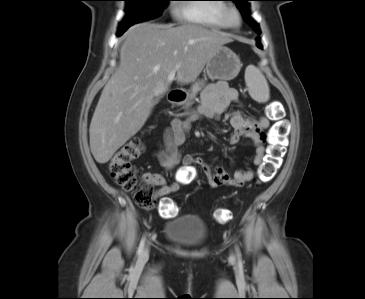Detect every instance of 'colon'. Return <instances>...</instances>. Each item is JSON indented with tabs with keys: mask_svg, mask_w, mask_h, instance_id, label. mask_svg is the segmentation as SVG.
I'll use <instances>...</instances> for the list:
<instances>
[{
	"mask_svg": "<svg viewBox=\"0 0 365 299\" xmlns=\"http://www.w3.org/2000/svg\"><path fill=\"white\" fill-rule=\"evenodd\" d=\"M269 117L275 120L269 135L268 154L258 171V180L262 183L269 182L275 176L281 165L285 153L288 125L281 118V104L275 102L268 110ZM141 137L135 136L128 140L111 158L108 170L110 176L126 192L134 196L135 202L144 209L153 208L156 202L153 186L149 183L140 184L136 169L132 161L143 151ZM189 182V181H188ZM177 211V205L169 199L163 200L160 213L163 217H171ZM213 216L220 223H226L231 219V213L227 209H217Z\"/></svg>",
	"mask_w": 365,
	"mask_h": 299,
	"instance_id": "1",
	"label": "colon"
}]
</instances>
